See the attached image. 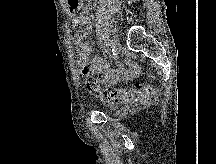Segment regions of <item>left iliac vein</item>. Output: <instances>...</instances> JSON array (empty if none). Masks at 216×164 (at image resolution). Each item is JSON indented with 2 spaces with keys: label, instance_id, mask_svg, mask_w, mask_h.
Wrapping results in <instances>:
<instances>
[{
  "label": "left iliac vein",
  "instance_id": "left-iliac-vein-1",
  "mask_svg": "<svg viewBox=\"0 0 216 164\" xmlns=\"http://www.w3.org/2000/svg\"><path fill=\"white\" fill-rule=\"evenodd\" d=\"M111 45L114 46V48L116 49V52H119V50H120V40L116 35L113 36V38L111 40Z\"/></svg>",
  "mask_w": 216,
  "mask_h": 164
}]
</instances>
